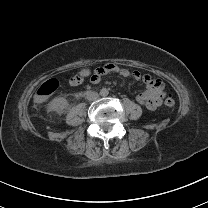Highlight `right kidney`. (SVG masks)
Listing matches in <instances>:
<instances>
[{
    "mask_svg": "<svg viewBox=\"0 0 208 208\" xmlns=\"http://www.w3.org/2000/svg\"><path fill=\"white\" fill-rule=\"evenodd\" d=\"M49 106L52 110L64 111L68 106V101L65 97H55L50 101Z\"/></svg>",
    "mask_w": 208,
    "mask_h": 208,
    "instance_id": "right-kidney-1",
    "label": "right kidney"
}]
</instances>
